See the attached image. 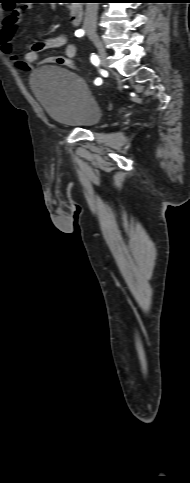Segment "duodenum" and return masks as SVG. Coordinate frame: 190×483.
<instances>
[{
  "label": "duodenum",
  "mask_w": 190,
  "mask_h": 483,
  "mask_svg": "<svg viewBox=\"0 0 190 483\" xmlns=\"http://www.w3.org/2000/svg\"><path fill=\"white\" fill-rule=\"evenodd\" d=\"M70 21L73 25H78L83 19V6L80 1H74L69 8Z\"/></svg>",
  "instance_id": "obj_1"
}]
</instances>
